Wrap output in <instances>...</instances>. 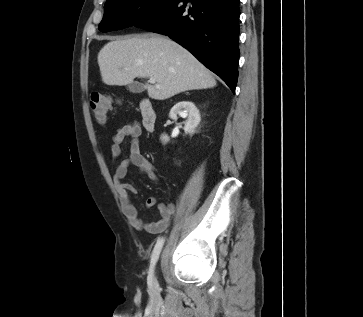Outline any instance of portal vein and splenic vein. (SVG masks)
<instances>
[{"mask_svg":"<svg viewBox=\"0 0 363 317\" xmlns=\"http://www.w3.org/2000/svg\"><path fill=\"white\" fill-rule=\"evenodd\" d=\"M149 82L152 83V84H155L156 83V81H155L154 78H150ZM156 87H159V85H156Z\"/></svg>","mask_w":363,"mask_h":317,"instance_id":"obj_1","label":"portal vein and splenic vein"}]
</instances>
